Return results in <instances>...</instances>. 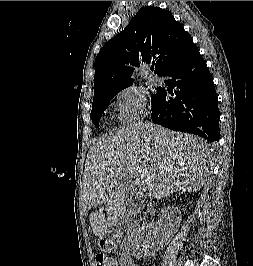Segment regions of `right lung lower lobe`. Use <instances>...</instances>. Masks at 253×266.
Masks as SVG:
<instances>
[{
	"label": "right lung lower lobe",
	"mask_w": 253,
	"mask_h": 266,
	"mask_svg": "<svg viewBox=\"0 0 253 266\" xmlns=\"http://www.w3.org/2000/svg\"><path fill=\"white\" fill-rule=\"evenodd\" d=\"M162 76L168 92L159 89L152 105L153 122L171 130L199 135L210 142L219 141L218 98L213 78L198 48Z\"/></svg>",
	"instance_id": "obj_1"
}]
</instances>
